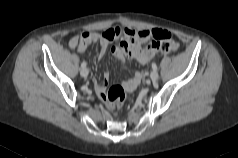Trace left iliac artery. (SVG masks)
Masks as SVG:
<instances>
[{"mask_svg": "<svg viewBox=\"0 0 238 158\" xmlns=\"http://www.w3.org/2000/svg\"><path fill=\"white\" fill-rule=\"evenodd\" d=\"M153 70H157V65L155 63H152Z\"/></svg>", "mask_w": 238, "mask_h": 158, "instance_id": "44dca946", "label": "left iliac artery"}]
</instances>
